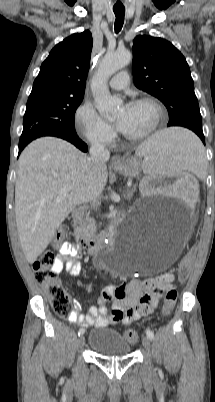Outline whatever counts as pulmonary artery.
<instances>
[{
    "instance_id": "e3ab8cb5",
    "label": "pulmonary artery",
    "mask_w": 215,
    "mask_h": 402,
    "mask_svg": "<svg viewBox=\"0 0 215 402\" xmlns=\"http://www.w3.org/2000/svg\"><path fill=\"white\" fill-rule=\"evenodd\" d=\"M129 82V75L127 72L122 71L117 73L115 76L111 78L109 81V85L111 88L120 90L127 86Z\"/></svg>"
}]
</instances>
